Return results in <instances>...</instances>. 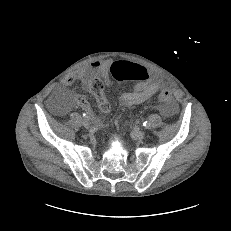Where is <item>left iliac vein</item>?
I'll return each instance as SVG.
<instances>
[{
  "label": "left iliac vein",
  "instance_id": "4c4485c4",
  "mask_svg": "<svg viewBox=\"0 0 231 231\" xmlns=\"http://www.w3.org/2000/svg\"><path fill=\"white\" fill-rule=\"evenodd\" d=\"M132 136L136 140H142L145 136V132L137 128L133 129L131 132Z\"/></svg>",
  "mask_w": 231,
  "mask_h": 231
}]
</instances>
